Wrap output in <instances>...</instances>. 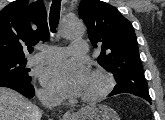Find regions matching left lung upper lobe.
I'll list each match as a JSON object with an SVG mask.
<instances>
[{
    "label": "left lung upper lobe",
    "instance_id": "5c2ea615",
    "mask_svg": "<svg viewBox=\"0 0 165 120\" xmlns=\"http://www.w3.org/2000/svg\"><path fill=\"white\" fill-rule=\"evenodd\" d=\"M78 11L93 47L101 48L98 63L117 82L110 96L131 93L151 101L131 23L115 7L99 0H81Z\"/></svg>",
    "mask_w": 165,
    "mask_h": 120
}]
</instances>
